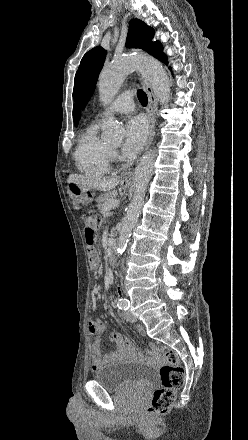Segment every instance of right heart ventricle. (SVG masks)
I'll return each mask as SVG.
<instances>
[{"mask_svg": "<svg viewBox=\"0 0 248 440\" xmlns=\"http://www.w3.org/2000/svg\"><path fill=\"white\" fill-rule=\"evenodd\" d=\"M74 158L78 170L86 175L100 176L110 172L109 147L99 138L96 123L88 126L81 134Z\"/></svg>", "mask_w": 248, "mask_h": 440, "instance_id": "e07e8e85", "label": "right heart ventricle"}]
</instances>
